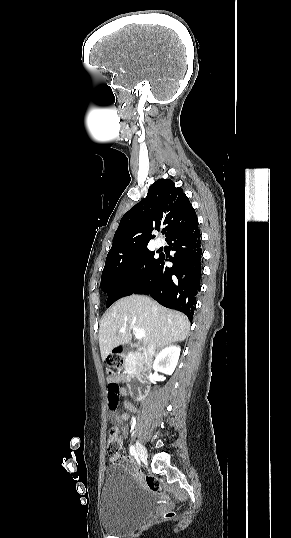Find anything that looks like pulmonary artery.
<instances>
[{
	"label": "pulmonary artery",
	"mask_w": 291,
	"mask_h": 538,
	"mask_svg": "<svg viewBox=\"0 0 291 538\" xmlns=\"http://www.w3.org/2000/svg\"><path fill=\"white\" fill-rule=\"evenodd\" d=\"M155 245L157 248H160L163 245V242L161 240H156Z\"/></svg>",
	"instance_id": "obj_1"
}]
</instances>
